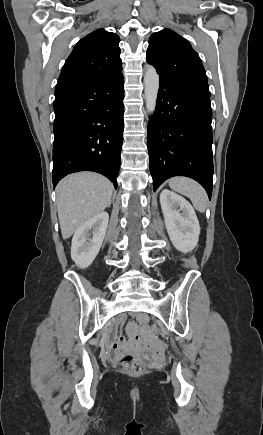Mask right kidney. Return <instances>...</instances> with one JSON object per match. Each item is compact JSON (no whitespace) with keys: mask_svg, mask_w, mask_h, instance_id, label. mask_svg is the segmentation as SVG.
I'll list each match as a JSON object with an SVG mask.
<instances>
[{"mask_svg":"<svg viewBox=\"0 0 263 435\" xmlns=\"http://www.w3.org/2000/svg\"><path fill=\"white\" fill-rule=\"evenodd\" d=\"M109 215L101 212L83 223L74 233L72 260L80 268H87L96 258L105 237Z\"/></svg>","mask_w":263,"mask_h":435,"instance_id":"ca27d5eb","label":"right kidney"}]
</instances>
